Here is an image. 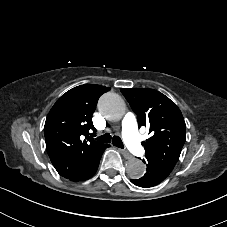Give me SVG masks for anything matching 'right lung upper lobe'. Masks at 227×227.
Returning a JSON list of instances; mask_svg holds the SVG:
<instances>
[{
    "label": "right lung upper lobe",
    "instance_id": "1",
    "mask_svg": "<svg viewBox=\"0 0 227 227\" xmlns=\"http://www.w3.org/2000/svg\"><path fill=\"white\" fill-rule=\"evenodd\" d=\"M109 90L101 85H80L54 104L44 126L46 149L54 167L77 170L90 154L107 145L93 139L92 114L99 97Z\"/></svg>",
    "mask_w": 227,
    "mask_h": 227
}]
</instances>
